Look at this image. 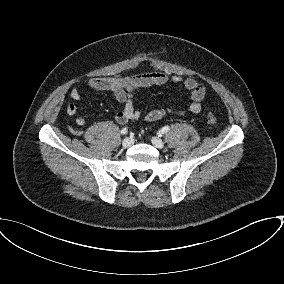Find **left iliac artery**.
<instances>
[{"label":"left iliac artery","instance_id":"obj_1","mask_svg":"<svg viewBox=\"0 0 284 284\" xmlns=\"http://www.w3.org/2000/svg\"><path fill=\"white\" fill-rule=\"evenodd\" d=\"M169 131V126L167 125V126H164L159 132L161 133V134H165V133H167Z\"/></svg>","mask_w":284,"mask_h":284}]
</instances>
